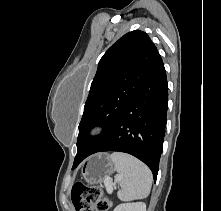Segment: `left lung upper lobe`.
Segmentation results:
<instances>
[{
  "instance_id": "1",
  "label": "left lung upper lobe",
  "mask_w": 221,
  "mask_h": 211,
  "mask_svg": "<svg viewBox=\"0 0 221 211\" xmlns=\"http://www.w3.org/2000/svg\"><path fill=\"white\" fill-rule=\"evenodd\" d=\"M158 57L156 46L140 30L125 34L106 51L99 61L84 106L73 167L87 156L117 122L140 90ZM95 125H101L103 133L91 137L89 132Z\"/></svg>"
}]
</instances>
